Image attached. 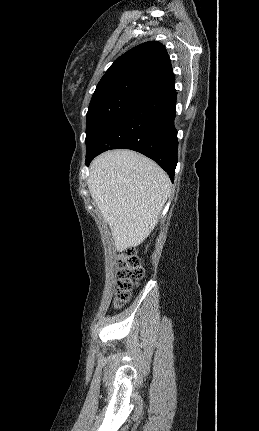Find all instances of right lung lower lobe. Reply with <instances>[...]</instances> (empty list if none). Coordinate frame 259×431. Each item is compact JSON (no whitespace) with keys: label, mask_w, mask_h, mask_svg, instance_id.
I'll return each mask as SVG.
<instances>
[{"label":"right lung lower lobe","mask_w":259,"mask_h":431,"mask_svg":"<svg viewBox=\"0 0 259 431\" xmlns=\"http://www.w3.org/2000/svg\"><path fill=\"white\" fill-rule=\"evenodd\" d=\"M175 105L174 81L151 89L105 130L86 153V165L106 150L131 149L156 161L173 182L178 150Z\"/></svg>","instance_id":"1"}]
</instances>
